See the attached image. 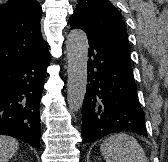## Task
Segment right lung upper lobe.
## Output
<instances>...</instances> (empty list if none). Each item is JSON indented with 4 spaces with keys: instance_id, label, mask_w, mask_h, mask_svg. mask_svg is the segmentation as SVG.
I'll use <instances>...</instances> for the list:
<instances>
[{
    "instance_id": "1",
    "label": "right lung upper lobe",
    "mask_w": 168,
    "mask_h": 162,
    "mask_svg": "<svg viewBox=\"0 0 168 162\" xmlns=\"http://www.w3.org/2000/svg\"><path fill=\"white\" fill-rule=\"evenodd\" d=\"M37 0H8L0 6V72L48 52L40 30Z\"/></svg>"
}]
</instances>
